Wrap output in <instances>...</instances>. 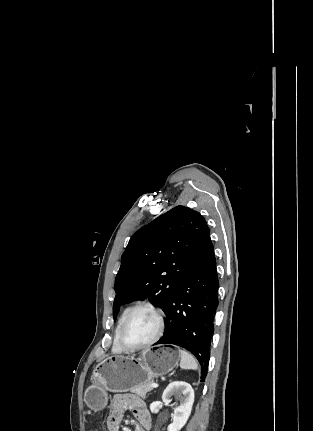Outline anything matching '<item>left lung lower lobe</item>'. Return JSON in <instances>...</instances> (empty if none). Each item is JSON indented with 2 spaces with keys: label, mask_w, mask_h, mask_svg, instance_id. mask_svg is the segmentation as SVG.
Masks as SVG:
<instances>
[{
  "label": "left lung lower lobe",
  "mask_w": 313,
  "mask_h": 431,
  "mask_svg": "<svg viewBox=\"0 0 313 431\" xmlns=\"http://www.w3.org/2000/svg\"><path fill=\"white\" fill-rule=\"evenodd\" d=\"M218 285L216 259L209 240L164 310L166 329L155 343L178 345L190 351L201 364L202 382L210 359Z\"/></svg>",
  "instance_id": "1"
}]
</instances>
